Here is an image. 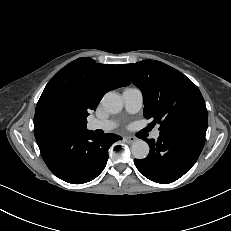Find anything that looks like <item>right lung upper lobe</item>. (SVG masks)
<instances>
[{
    "label": "right lung upper lobe",
    "instance_id": "obj_1",
    "mask_svg": "<svg viewBox=\"0 0 231 231\" xmlns=\"http://www.w3.org/2000/svg\"><path fill=\"white\" fill-rule=\"evenodd\" d=\"M119 70V65L96 64L89 57H81L57 72L35 109L37 143L55 135L87 131L86 118L104 94L130 84Z\"/></svg>",
    "mask_w": 231,
    "mask_h": 231
}]
</instances>
